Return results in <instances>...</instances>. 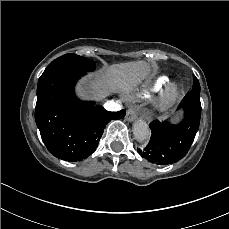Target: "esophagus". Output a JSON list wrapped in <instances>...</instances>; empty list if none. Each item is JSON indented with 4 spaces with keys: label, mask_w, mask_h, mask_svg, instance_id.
Returning a JSON list of instances; mask_svg holds the SVG:
<instances>
[{
    "label": "esophagus",
    "mask_w": 229,
    "mask_h": 229,
    "mask_svg": "<svg viewBox=\"0 0 229 229\" xmlns=\"http://www.w3.org/2000/svg\"><path fill=\"white\" fill-rule=\"evenodd\" d=\"M138 116V111L136 108L131 107L127 110L126 115H125V119L129 122L134 121Z\"/></svg>",
    "instance_id": "34e87169"
}]
</instances>
